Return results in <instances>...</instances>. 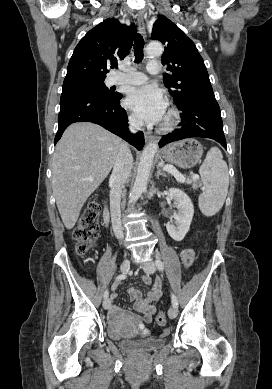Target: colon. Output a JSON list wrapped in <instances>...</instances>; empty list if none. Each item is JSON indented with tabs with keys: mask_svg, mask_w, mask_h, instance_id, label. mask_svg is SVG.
I'll use <instances>...</instances> for the list:
<instances>
[{
	"mask_svg": "<svg viewBox=\"0 0 272 389\" xmlns=\"http://www.w3.org/2000/svg\"><path fill=\"white\" fill-rule=\"evenodd\" d=\"M98 217L99 206L97 204L89 205L80 217L73 233L78 254L87 253L96 244L99 229ZM156 323L161 327L166 325V316L163 312L156 315Z\"/></svg>",
	"mask_w": 272,
	"mask_h": 389,
	"instance_id": "colon-1",
	"label": "colon"
}]
</instances>
